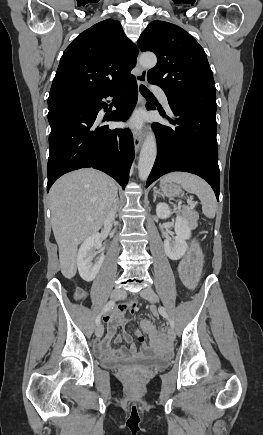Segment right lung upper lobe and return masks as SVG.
<instances>
[{"mask_svg":"<svg viewBox=\"0 0 263 435\" xmlns=\"http://www.w3.org/2000/svg\"><path fill=\"white\" fill-rule=\"evenodd\" d=\"M138 50L119 21L107 19L82 32L64 51L48 106L79 102L117 88L134 77Z\"/></svg>","mask_w":263,"mask_h":435,"instance_id":"cb5924a9","label":"right lung upper lobe"}]
</instances>
